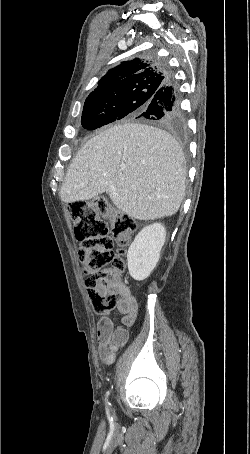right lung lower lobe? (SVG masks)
Here are the masks:
<instances>
[{
	"label": "right lung lower lobe",
	"instance_id": "right-lung-lower-lobe-1",
	"mask_svg": "<svg viewBox=\"0 0 250 454\" xmlns=\"http://www.w3.org/2000/svg\"><path fill=\"white\" fill-rule=\"evenodd\" d=\"M180 102L179 88L169 71L166 83L154 94L148 107L138 118H146L171 128L180 127L183 124Z\"/></svg>",
	"mask_w": 250,
	"mask_h": 454
}]
</instances>
